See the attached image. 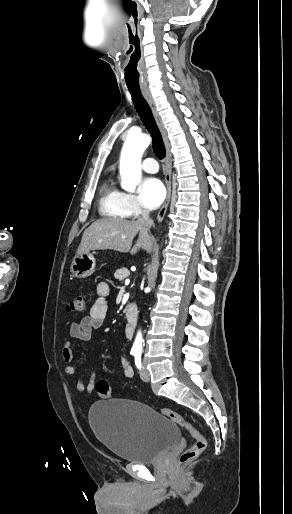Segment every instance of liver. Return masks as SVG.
Returning a JSON list of instances; mask_svg holds the SVG:
<instances>
[{"instance_id":"obj_1","label":"liver","mask_w":292,"mask_h":514,"mask_svg":"<svg viewBox=\"0 0 292 514\" xmlns=\"http://www.w3.org/2000/svg\"><path fill=\"white\" fill-rule=\"evenodd\" d=\"M139 234L137 244L133 246L131 254H136L140 248L152 252L155 246L154 238L148 236L140 220H123V218H102L93 222L85 230L81 244L77 250L79 254H86L90 250H116V252H130L133 238Z\"/></svg>"}]
</instances>
